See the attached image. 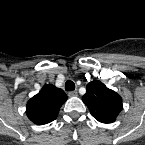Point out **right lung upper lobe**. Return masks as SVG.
Instances as JSON below:
<instances>
[{
    "mask_svg": "<svg viewBox=\"0 0 145 145\" xmlns=\"http://www.w3.org/2000/svg\"><path fill=\"white\" fill-rule=\"evenodd\" d=\"M67 100L63 90L48 84L27 102L26 114L37 125L47 124L55 120L59 109Z\"/></svg>",
    "mask_w": 145,
    "mask_h": 145,
    "instance_id": "obj_1",
    "label": "right lung upper lobe"
}]
</instances>
